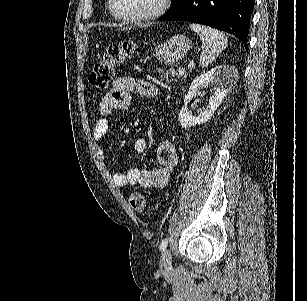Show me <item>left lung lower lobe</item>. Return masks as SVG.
<instances>
[{"label": "left lung lower lobe", "mask_w": 307, "mask_h": 301, "mask_svg": "<svg viewBox=\"0 0 307 301\" xmlns=\"http://www.w3.org/2000/svg\"><path fill=\"white\" fill-rule=\"evenodd\" d=\"M254 0H181L159 20L189 21L229 32L247 48Z\"/></svg>", "instance_id": "0a47b994"}]
</instances>
